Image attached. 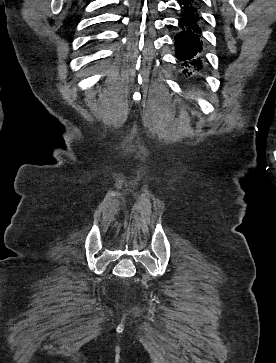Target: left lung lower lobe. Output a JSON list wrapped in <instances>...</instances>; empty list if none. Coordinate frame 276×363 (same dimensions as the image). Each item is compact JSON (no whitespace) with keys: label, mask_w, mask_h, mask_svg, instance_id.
Wrapping results in <instances>:
<instances>
[{"label":"left lung lower lobe","mask_w":276,"mask_h":363,"mask_svg":"<svg viewBox=\"0 0 276 363\" xmlns=\"http://www.w3.org/2000/svg\"><path fill=\"white\" fill-rule=\"evenodd\" d=\"M201 0H180L181 19L178 33L175 36L176 57L184 68V73L192 74L190 70L199 71L205 61L203 53V36L201 35V22L199 2ZM187 60V61H186Z\"/></svg>","instance_id":"left-lung-lower-lobe-1"}]
</instances>
